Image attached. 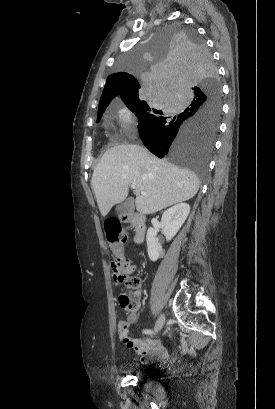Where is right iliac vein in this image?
<instances>
[{"mask_svg":"<svg viewBox=\"0 0 275 409\" xmlns=\"http://www.w3.org/2000/svg\"><path fill=\"white\" fill-rule=\"evenodd\" d=\"M164 322H165V316H164V314H161L159 316L155 326H154V332L155 333L159 332L162 329V327L164 325Z\"/></svg>","mask_w":275,"mask_h":409,"instance_id":"right-iliac-vein-1","label":"right iliac vein"}]
</instances>
